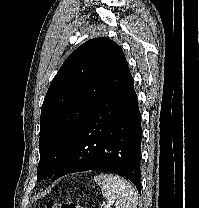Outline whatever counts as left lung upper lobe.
Returning a JSON list of instances; mask_svg holds the SVG:
<instances>
[{
	"mask_svg": "<svg viewBox=\"0 0 199 208\" xmlns=\"http://www.w3.org/2000/svg\"><path fill=\"white\" fill-rule=\"evenodd\" d=\"M129 73L122 49L107 38L89 40L68 56L41 109L39 179L54 174L80 127Z\"/></svg>",
	"mask_w": 199,
	"mask_h": 208,
	"instance_id": "5c2ea615",
	"label": "left lung upper lobe"
}]
</instances>
